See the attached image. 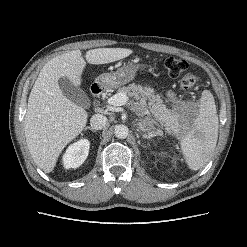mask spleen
Instances as JSON below:
<instances>
[{"label": "spleen", "mask_w": 247, "mask_h": 247, "mask_svg": "<svg viewBox=\"0 0 247 247\" xmlns=\"http://www.w3.org/2000/svg\"><path fill=\"white\" fill-rule=\"evenodd\" d=\"M198 116L181 140L186 163L192 170L202 168L210 159L218 139V115L213 95L204 91Z\"/></svg>", "instance_id": "1"}]
</instances>
